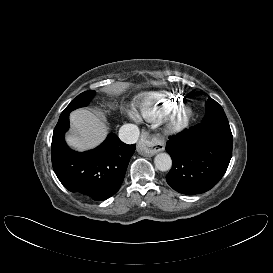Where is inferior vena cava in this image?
Here are the masks:
<instances>
[{"instance_id": "obj_1", "label": "inferior vena cava", "mask_w": 273, "mask_h": 273, "mask_svg": "<svg viewBox=\"0 0 273 273\" xmlns=\"http://www.w3.org/2000/svg\"><path fill=\"white\" fill-rule=\"evenodd\" d=\"M139 128L134 124H124L119 129V138L127 144H134L139 138Z\"/></svg>"}]
</instances>
